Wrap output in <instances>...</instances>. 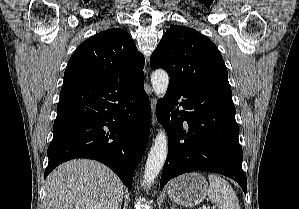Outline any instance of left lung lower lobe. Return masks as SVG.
I'll list each match as a JSON object with an SVG mask.
<instances>
[{
	"mask_svg": "<svg viewBox=\"0 0 299 209\" xmlns=\"http://www.w3.org/2000/svg\"><path fill=\"white\" fill-rule=\"evenodd\" d=\"M235 113L231 89L169 83L157 105V118L169 136L160 188L180 174L208 171L237 181L246 194Z\"/></svg>",
	"mask_w": 299,
	"mask_h": 209,
	"instance_id": "obj_1",
	"label": "left lung lower lobe"
}]
</instances>
